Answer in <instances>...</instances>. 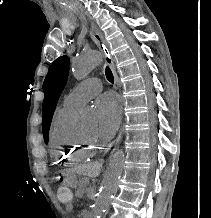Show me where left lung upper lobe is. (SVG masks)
Instances as JSON below:
<instances>
[{
	"label": "left lung upper lobe",
	"mask_w": 211,
	"mask_h": 218,
	"mask_svg": "<svg viewBox=\"0 0 211 218\" xmlns=\"http://www.w3.org/2000/svg\"><path fill=\"white\" fill-rule=\"evenodd\" d=\"M69 72V58L62 56L56 59L50 66L49 72L43 83L45 98L42 106L43 113V135L45 143H48V133L52 116L60 97V94L66 84Z\"/></svg>",
	"instance_id": "obj_1"
}]
</instances>
